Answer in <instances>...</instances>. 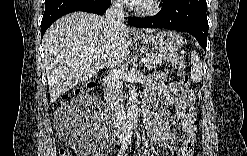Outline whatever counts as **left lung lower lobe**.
<instances>
[{"instance_id":"obj_1","label":"left lung lower lobe","mask_w":247,"mask_h":156,"mask_svg":"<svg viewBox=\"0 0 247 156\" xmlns=\"http://www.w3.org/2000/svg\"><path fill=\"white\" fill-rule=\"evenodd\" d=\"M155 16L128 18L132 26L141 28L175 29L192 34L206 51L208 21L206 0H166Z\"/></svg>"}]
</instances>
